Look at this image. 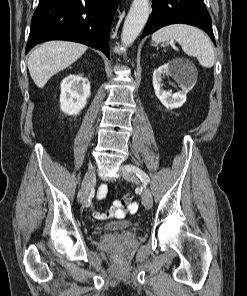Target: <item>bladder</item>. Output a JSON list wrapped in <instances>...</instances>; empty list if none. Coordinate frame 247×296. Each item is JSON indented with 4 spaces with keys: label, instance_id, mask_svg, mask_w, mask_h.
<instances>
[{
    "label": "bladder",
    "instance_id": "obj_1",
    "mask_svg": "<svg viewBox=\"0 0 247 296\" xmlns=\"http://www.w3.org/2000/svg\"><path fill=\"white\" fill-rule=\"evenodd\" d=\"M135 226V223L130 220L109 222L104 225L106 231H123Z\"/></svg>",
    "mask_w": 247,
    "mask_h": 296
}]
</instances>
